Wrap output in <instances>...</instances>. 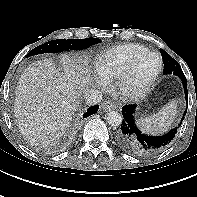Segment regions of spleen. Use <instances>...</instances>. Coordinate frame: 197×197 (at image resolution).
<instances>
[{"mask_svg":"<svg viewBox=\"0 0 197 197\" xmlns=\"http://www.w3.org/2000/svg\"><path fill=\"white\" fill-rule=\"evenodd\" d=\"M176 114L177 103L174 100L164 105L156 114L139 119L137 121V125L143 132H146L148 134H162L171 126Z\"/></svg>","mask_w":197,"mask_h":197,"instance_id":"3e777b00","label":"spleen"}]
</instances>
